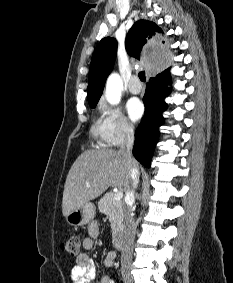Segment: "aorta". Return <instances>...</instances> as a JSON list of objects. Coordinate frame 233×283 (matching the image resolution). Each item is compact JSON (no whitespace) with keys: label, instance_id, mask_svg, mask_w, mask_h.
Wrapping results in <instances>:
<instances>
[{"label":"aorta","instance_id":"aorta-1","mask_svg":"<svg viewBox=\"0 0 233 283\" xmlns=\"http://www.w3.org/2000/svg\"><path fill=\"white\" fill-rule=\"evenodd\" d=\"M122 89L123 83L120 76L117 73H112L106 82L105 97L107 101L112 105H117L121 100Z\"/></svg>","mask_w":233,"mask_h":283}]
</instances>
